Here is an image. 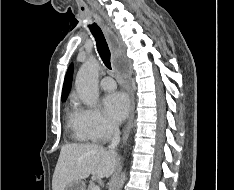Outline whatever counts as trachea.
<instances>
[{"label":"trachea","instance_id":"trachea-1","mask_svg":"<svg viewBox=\"0 0 234 190\" xmlns=\"http://www.w3.org/2000/svg\"><path fill=\"white\" fill-rule=\"evenodd\" d=\"M89 29L96 40L97 50L103 63L111 70V53L102 30L95 23L90 25Z\"/></svg>","mask_w":234,"mask_h":190}]
</instances>
